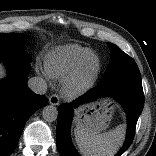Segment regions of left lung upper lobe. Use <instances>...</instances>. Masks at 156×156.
I'll return each mask as SVG.
<instances>
[{"instance_id":"5c2ea615","label":"left lung upper lobe","mask_w":156,"mask_h":156,"mask_svg":"<svg viewBox=\"0 0 156 156\" xmlns=\"http://www.w3.org/2000/svg\"><path fill=\"white\" fill-rule=\"evenodd\" d=\"M111 50V60L104 76L98 84L113 81L141 83V75L135 61L112 43H107Z\"/></svg>"}]
</instances>
